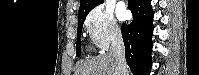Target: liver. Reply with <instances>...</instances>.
<instances>
[{
	"mask_svg": "<svg viewBox=\"0 0 199 75\" xmlns=\"http://www.w3.org/2000/svg\"><path fill=\"white\" fill-rule=\"evenodd\" d=\"M116 60L111 53L103 54L84 61L74 75H116ZM126 69L125 75H130Z\"/></svg>",
	"mask_w": 199,
	"mask_h": 75,
	"instance_id": "obj_1",
	"label": "liver"
}]
</instances>
